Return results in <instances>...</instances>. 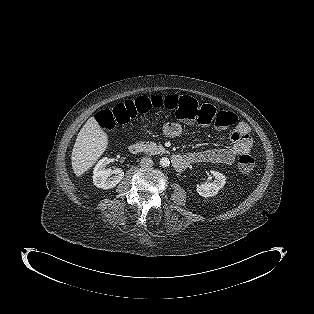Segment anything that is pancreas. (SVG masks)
<instances>
[{"label":"pancreas","mask_w":314,"mask_h":314,"mask_svg":"<svg viewBox=\"0 0 314 314\" xmlns=\"http://www.w3.org/2000/svg\"><path fill=\"white\" fill-rule=\"evenodd\" d=\"M143 151L148 155L164 154L166 150L163 146L157 145L154 142L146 143L143 147Z\"/></svg>","instance_id":"pancreas-1"}]
</instances>
